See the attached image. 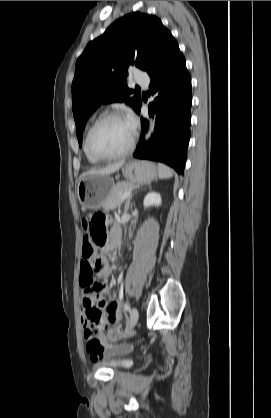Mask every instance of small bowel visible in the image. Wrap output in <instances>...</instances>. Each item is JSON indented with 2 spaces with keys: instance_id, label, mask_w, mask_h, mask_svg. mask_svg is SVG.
Wrapping results in <instances>:
<instances>
[{
  "instance_id": "obj_1",
  "label": "small bowel",
  "mask_w": 271,
  "mask_h": 418,
  "mask_svg": "<svg viewBox=\"0 0 271 418\" xmlns=\"http://www.w3.org/2000/svg\"><path fill=\"white\" fill-rule=\"evenodd\" d=\"M118 230L113 227L112 232ZM80 275L79 284L81 287L82 304V325L84 336L87 340V351L93 361L99 358L108 357L114 353L123 352L126 347L113 344L121 334V329L116 324L121 319V313L116 301L110 295L108 288L103 283H95L94 277L97 276L103 280L109 277L111 268L105 263L104 257L95 255V244L89 243V238H80ZM89 266V271H88ZM90 310H96L100 314V320L106 327L111 326L105 332H100L98 341L101 344L99 350L90 348L91 336L87 333L91 328L92 322L88 317Z\"/></svg>"
}]
</instances>
